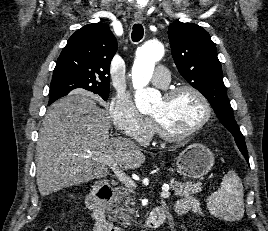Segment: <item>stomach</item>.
Wrapping results in <instances>:
<instances>
[{"instance_id": "1", "label": "stomach", "mask_w": 268, "mask_h": 231, "mask_svg": "<svg viewBox=\"0 0 268 231\" xmlns=\"http://www.w3.org/2000/svg\"><path fill=\"white\" fill-rule=\"evenodd\" d=\"M175 165L184 178H202L213 167L214 155L202 144H191L179 154Z\"/></svg>"}]
</instances>
